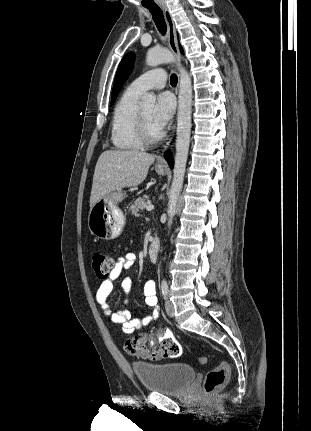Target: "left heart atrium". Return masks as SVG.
<instances>
[{"label":"left heart atrium","instance_id":"1","mask_svg":"<svg viewBox=\"0 0 311 431\" xmlns=\"http://www.w3.org/2000/svg\"><path fill=\"white\" fill-rule=\"evenodd\" d=\"M175 110L176 100L174 95L170 92L159 94L153 111V123L160 133L174 116Z\"/></svg>","mask_w":311,"mask_h":431}]
</instances>
